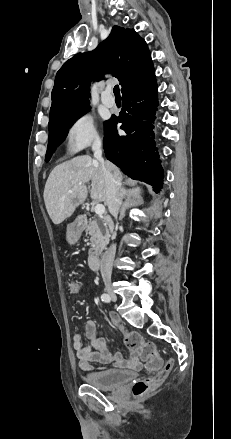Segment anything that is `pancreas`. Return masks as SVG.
<instances>
[{
  "label": "pancreas",
  "mask_w": 231,
  "mask_h": 439,
  "mask_svg": "<svg viewBox=\"0 0 231 439\" xmlns=\"http://www.w3.org/2000/svg\"><path fill=\"white\" fill-rule=\"evenodd\" d=\"M86 232L91 236V246L89 256L98 255L109 242V230L107 226L90 219Z\"/></svg>",
  "instance_id": "pancreas-1"
}]
</instances>
